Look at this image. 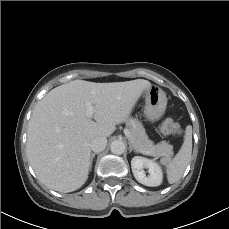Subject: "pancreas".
<instances>
[{"mask_svg": "<svg viewBox=\"0 0 229 229\" xmlns=\"http://www.w3.org/2000/svg\"><path fill=\"white\" fill-rule=\"evenodd\" d=\"M127 127L130 131L131 139L134 142L135 148L140 150L150 151L154 157H163L164 160H169L173 155V146L166 141H162L156 145L153 144L143 128L141 122L136 119L127 121Z\"/></svg>", "mask_w": 229, "mask_h": 229, "instance_id": "cf45deb5", "label": "pancreas"}]
</instances>
